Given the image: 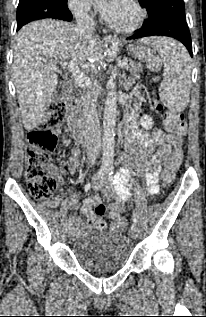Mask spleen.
<instances>
[{
	"label": "spleen",
	"instance_id": "spleen-1",
	"mask_svg": "<svg viewBox=\"0 0 206 317\" xmlns=\"http://www.w3.org/2000/svg\"><path fill=\"white\" fill-rule=\"evenodd\" d=\"M153 47L164 63V81L159 87L162 103L171 110L181 112L189 103L191 85L190 57L178 41L166 37H150L138 41Z\"/></svg>",
	"mask_w": 206,
	"mask_h": 317
}]
</instances>
